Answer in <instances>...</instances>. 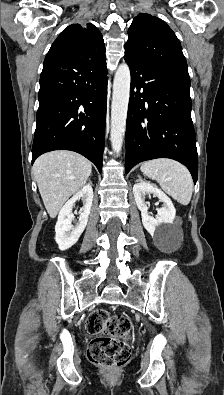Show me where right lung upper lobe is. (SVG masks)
<instances>
[{
	"label": "right lung upper lobe",
	"instance_id": "cb5924a9",
	"mask_svg": "<svg viewBox=\"0 0 224 395\" xmlns=\"http://www.w3.org/2000/svg\"><path fill=\"white\" fill-rule=\"evenodd\" d=\"M64 50L79 59L105 58V45L100 31L91 23L72 24L65 28L52 44L49 52Z\"/></svg>",
	"mask_w": 224,
	"mask_h": 395
}]
</instances>
